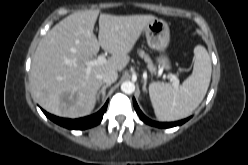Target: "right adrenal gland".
<instances>
[{
  "label": "right adrenal gland",
  "instance_id": "right-adrenal-gland-1",
  "mask_svg": "<svg viewBox=\"0 0 248 165\" xmlns=\"http://www.w3.org/2000/svg\"><path fill=\"white\" fill-rule=\"evenodd\" d=\"M110 86H111V84H106V85H104V86L101 88V90H99V92H98V94H97L98 99L100 98V94H102V99H104V97H105V95H106V89H107L108 87H110Z\"/></svg>",
  "mask_w": 248,
  "mask_h": 165
}]
</instances>
